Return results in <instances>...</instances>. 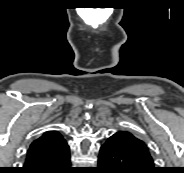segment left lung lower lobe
<instances>
[{
  "label": "left lung lower lobe",
  "instance_id": "1",
  "mask_svg": "<svg viewBox=\"0 0 184 173\" xmlns=\"http://www.w3.org/2000/svg\"><path fill=\"white\" fill-rule=\"evenodd\" d=\"M124 133L119 131L101 146L98 157L100 173H158L142 166L125 147Z\"/></svg>",
  "mask_w": 184,
  "mask_h": 173
}]
</instances>
